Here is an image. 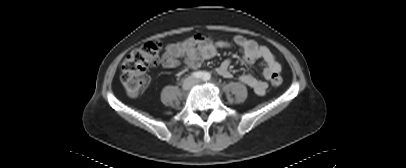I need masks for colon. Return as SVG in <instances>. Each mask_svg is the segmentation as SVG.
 I'll return each mask as SVG.
<instances>
[{"label": "colon", "instance_id": "obj_1", "mask_svg": "<svg viewBox=\"0 0 406 168\" xmlns=\"http://www.w3.org/2000/svg\"><path fill=\"white\" fill-rule=\"evenodd\" d=\"M161 48L159 40H150L125 58L121 66L120 81L129 96L136 97L147 87L149 82L147 71L159 64ZM282 82L280 74L272 75V85L280 86Z\"/></svg>", "mask_w": 406, "mask_h": 168}]
</instances>
